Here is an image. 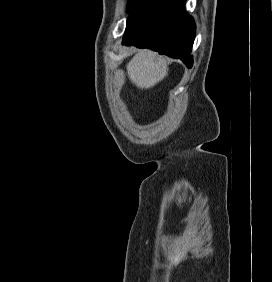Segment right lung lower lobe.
I'll return each mask as SVG.
<instances>
[{"mask_svg":"<svg viewBox=\"0 0 272 282\" xmlns=\"http://www.w3.org/2000/svg\"><path fill=\"white\" fill-rule=\"evenodd\" d=\"M185 1L142 0L127 19L123 44L179 58L191 67L195 24L185 12Z\"/></svg>","mask_w":272,"mask_h":282,"instance_id":"1","label":"right lung lower lobe"}]
</instances>
